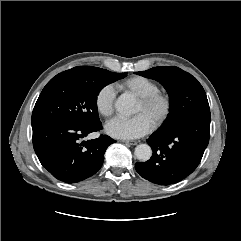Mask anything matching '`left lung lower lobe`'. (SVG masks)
<instances>
[{"mask_svg":"<svg viewBox=\"0 0 241 241\" xmlns=\"http://www.w3.org/2000/svg\"><path fill=\"white\" fill-rule=\"evenodd\" d=\"M209 135L210 116L190 120L175 129L158 130L147 139L152 157L146 162H136L135 169L152 183H177L197 168L209 143Z\"/></svg>","mask_w":241,"mask_h":241,"instance_id":"0a47b994","label":"left lung lower lobe"}]
</instances>
